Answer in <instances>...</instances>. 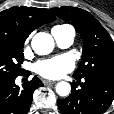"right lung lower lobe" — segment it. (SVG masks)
Listing matches in <instances>:
<instances>
[{"mask_svg":"<svg viewBox=\"0 0 114 114\" xmlns=\"http://www.w3.org/2000/svg\"><path fill=\"white\" fill-rule=\"evenodd\" d=\"M40 86L43 83L37 77L24 83L22 88L15 84V78L0 81V114H27L32 94Z\"/></svg>","mask_w":114,"mask_h":114,"instance_id":"98d812e1","label":"right lung lower lobe"}]
</instances>
